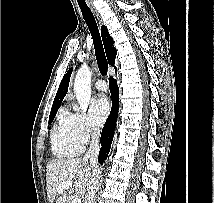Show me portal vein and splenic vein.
<instances>
[{"label": "portal vein and splenic vein", "instance_id": "18ae733b", "mask_svg": "<svg viewBox=\"0 0 214 203\" xmlns=\"http://www.w3.org/2000/svg\"><path fill=\"white\" fill-rule=\"evenodd\" d=\"M72 184H73V183H72L71 180L64 181V182H62V183L58 186L57 191H58V192H62L63 189H65V188H67V187H69V186H72ZM71 203H81V199H80V198H74V199L72 200Z\"/></svg>", "mask_w": 214, "mask_h": 203}]
</instances>
